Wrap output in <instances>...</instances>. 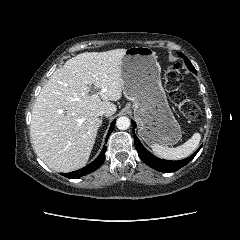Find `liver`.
<instances>
[{
	"instance_id": "obj_1",
	"label": "liver",
	"mask_w": 240,
	"mask_h": 240,
	"mask_svg": "<svg viewBox=\"0 0 240 240\" xmlns=\"http://www.w3.org/2000/svg\"><path fill=\"white\" fill-rule=\"evenodd\" d=\"M127 49L85 52L67 60L43 86L32 110L30 136L51 169L70 172L86 165L100 119L112 116L122 96V59ZM97 92H91V88Z\"/></svg>"
}]
</instances>
